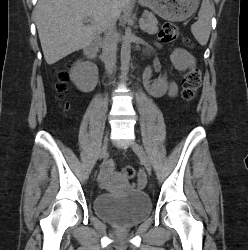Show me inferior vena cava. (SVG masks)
I'll return each mask as SVG.
<instances>
[{"mask_svg":"<svg viewBox=\"0 0 248 250\" xmlns=\"http://www.w3.org/2000/svg\"><path fill=\"white\" fill-rule=\"evenodd\" d=\"M116 17L109 16L104 27L103 58L106 72L112 75L116 68L117 32Z\"/></svg>","mask_w":248,"mask_h":250,"instance_id":"inferior-vena-cava-1","label":"inferior vena cava"}]
</instances>
